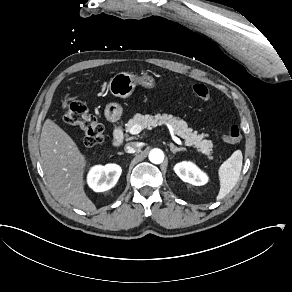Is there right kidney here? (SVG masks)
Listing matches in <instances>:
<instances>
[{"mask_svg": "<svg viewBox=\"0 0 292 292\" xmlns=\"http://www.w3.org/2000/svg\"><path fill=\"white\" fill-rule=\"evenodd\" d=\"M121 173L122 169L117 164L95 165L87 175V183L93 191L104 192L114 187Z\"/></svg>", "mask_w": 292, "mask_h": 292, "instance_id": "right-kidney-1", "label": "right kidney"}]
</instances>
